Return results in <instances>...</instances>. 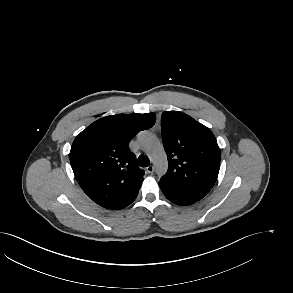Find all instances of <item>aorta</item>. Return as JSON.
Returning a JSON list of instances; mask_svg holds the SVG:
<instances>
[{
	"mask_svg": "<svg viewBox=\"0 0 293 293\" xmlns=\"http://www.w3.org/2000/svg\"><path fill=\"white\" fill-rule=\"evenodd\" d=\"M138 140L141 148L153 162L156 172L164 174L168 166L167 157L159 140L149 132L140 133Z\"/></svg>",
	"mask_w": 293,
	"mask_h": 293,
	"instance_id": "aorta-1",
	"label": "aorta"
}]
</instances>
